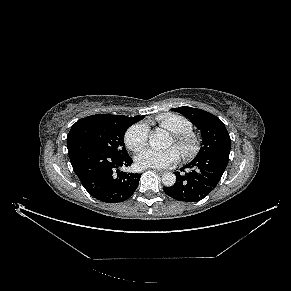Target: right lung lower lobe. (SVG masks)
<instances>
[{
  "label": "right lung lower lobe",
  "mask_w": 291,
  "mask_h": 291,
  "mask_svg": "<svg viewBox=\"0 0 291 291\" xmlns=\"http://www.w3.org/2000/svg\"><path fill=\"white\" fill-rule=\"evenodd\" d=\"M67 148L73 170L91 196L106 203H118L134 193L141 174L119 170L122 166L131 165L133 161L129 155L116 156L81 141Z\"/></svg>",
  "instance_id": "obj_1"
}]
</instances>
